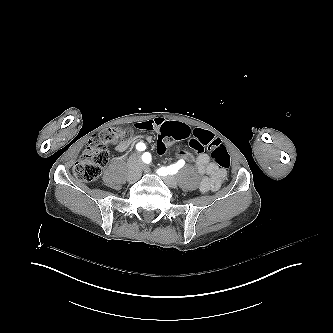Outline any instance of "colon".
Masks as SVG:
<instances>
[{"instance_id": "colon-1", "label": "colon", "mask_w": 333, "mask_h": 333, "mask_svg": "<svg viewBox=\"0 0 333 333\" xmlns=\"http://www.w3.org/2000/svg\"><path fill=\"white\" fill-rule=\"evenodd\" d=\"M135 134L136 129L132 125L125 126L123 132L118 127L101 131L97 136L88 141L84 147L81 157L73 167L75 177L84 182H91L99 178L102 168L109 160L108 148H122L124 141H126L127 138L134 137ZM196 136V129L190 127V125L186 123H179L175 126L174 123L167 122L163 124L157 135L154 149L156 153L164 155L168 153L170 149L167 141L171 138L175 140H182L186 138L193 140ZM200 143V152H204L206 148H208L211 159L221 169L226 170L230 167V155L226 146L222 142L215 139L213 135L207 134L200 138Z\"/></svg>"}]
</instances>
